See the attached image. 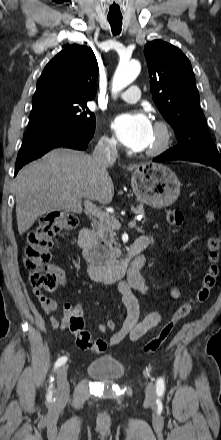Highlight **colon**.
Listing matches in <instances>:
<instances>
[{"label": "colon", "instance_id": "colon-1", "mask_svg": "<svg viewBox=\"0 0 221 440\" xmlns=\"http://www.w3.org/2000/svg\"><path fill=\"white\" fill-rule=\"evenodd\" d=\"M166 220L172 226H182L185 222V215L178 209H169L166 213ZM206 220L213 222L215 215L208 213ZM77 224V217L71 213L50 212L41 219L35 229L28 233L24 266L30 272L29 281L34 289L51 293L57 288L59 275L48 268L53 238L61 232L74 229ZM207 249L209 265L200 287L190 300L183 303L172 314L158 334L142 346L144 353H153L161 348L170 337L176 323L186 317L195 304L203 303L209 298L219 276L220 240L217 237H210L207 240ZM104 325L114 331L118 328V322L114 318H105ZM69 329L80 349L91 350L95 353L106 351V341L101 338H92L90 332L85 329L84 311L80 305H76L70 315Z\"/></svg>", "mask_w": 221, "mask_h": 440}]
</instances>
